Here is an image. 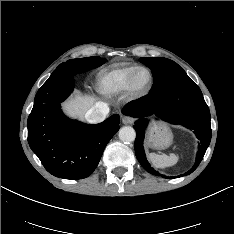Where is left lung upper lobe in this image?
Segmentation results:
<instances>
[{
    "label": "left lung upper lobe",
    "instance_id": "left-lung-upper-lobe-1",
    "mask_svg": "<svg viewBox=\"0 0 234 234\" xmlns=\"http://www.w3.org/2000/svg\"><path fill=\"white\" fill-rule=\"evenodd\" d=\"M139 61L153 72L155 83L151 91H156L167 85L188 77L186 72L174 61L162 57H142Z\"/></svg>",
    "mask_w": 234,
    "mask_h": 234
}]
</instances>
